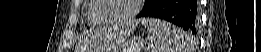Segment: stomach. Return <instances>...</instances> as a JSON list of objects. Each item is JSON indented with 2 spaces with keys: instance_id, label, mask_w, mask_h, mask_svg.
<instances>
[{
  "instance_id": "stomach-1",
  "label": "stomach",
  "mask_w": 261,
  "mask_h": 52,
  "mask_svg": "<svg viewBox=\"0 0 261 52\" xmlns=\"http://www.w3.org/2000/svg\"><path fill=\"white\" fill-rule=\"evenodd\" d=\"M140 43H141V41L139 39H134V41H132L129 44V47H125L123 49V47L121 46V47H119V49H117L116 52H139L138 47L140 46ZM118 50H120V51H118Z\"/></svg>"
}]
</instances>
